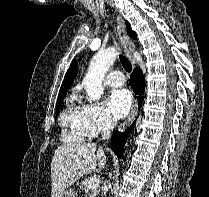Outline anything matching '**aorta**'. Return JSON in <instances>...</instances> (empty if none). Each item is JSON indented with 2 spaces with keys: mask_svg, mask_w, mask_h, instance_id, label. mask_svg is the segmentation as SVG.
I'll return each instance as SVG.
<instances>
[{
  "mask_svg": "<svg viewBox=\"0 0 209 197\" xmlns=\"http://www.w3.org/2000/svg\"><path fill=\"white\" fill-rule=\"evenodd\" d=\"M117 57V49L109 47L95 54L90 62L88 72L83 79L85 91L90 100H99L103 94L102 82L106 72Z\"/></svg>",
  "mask_w": 209,
  "mask_h": 197,
  "instance_id": "aorta-1",
  "label": "aorta"
}]
</instances>
